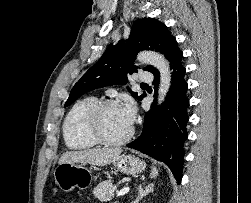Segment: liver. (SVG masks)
I'll use <instances>...</instances> for the list:
<instances>
[{
  "label": "liver",
  "mask_w": 251,
  "mask_h": 203,
  "mask_svg": "<svg viewBox=\"0 0 251 203\" xmlns=\"http://www.w3.org/2000/svg\"><path fill=\"white\" fill-rule=\"evenodd\" d=\"M122 153L121 148L88 149L81 151H67L62 154L59 164L83 163L105 166L113 162Z\"/></svg>",
  "instance_id": "liver-1"
}]
</instances>
